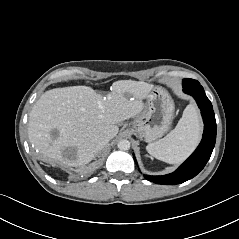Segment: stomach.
Listing matches in <instances>:
<instances>
[{"label": "stomach", "mask_w": 239, "mask_h": 239, "mask_svg": "<svg viewBox=\"0 0 239 239\" xmlns=\"http://www.w3.org/2000/svg\"><path fill=\"white\" fill-rule=\"evenodd\" d=\"M145 110L134 120L133 131L145 142L162 137L170 128L174 114V102L162 87H154L147 96Z\"/></svg>", "instance_id": "1"}]
</instances>
